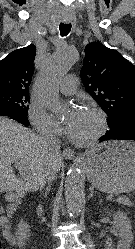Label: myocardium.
Wrapping results in <instances>:
<instances>
[{
    "instance_id": "f54148a6",
    "label": "myocardium",
    "mask_w": 135,
    "mask_h": 249,
    "mask_svg": "<svg viewBox=\"0 0 135 249\" xmlns=\"http://www.w3.org/2000/svg\"><path fill=\"white\" fill-rule=\"evenodd\" d=\"M85 108L96 115L98 119V129L93 135L84 140H79L74 138L73 136H70V140L72 141V143L77 146H89L95 143L105 134L107 130V118L105 113L99 107L93 104H87Z\"/></svg>"
}]
</instances>
